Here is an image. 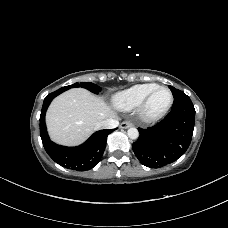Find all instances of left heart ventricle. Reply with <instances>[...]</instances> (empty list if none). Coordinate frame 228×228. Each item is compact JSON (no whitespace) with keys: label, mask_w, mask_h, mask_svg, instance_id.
Returning a JSON list of instances; mask_svg holds the SVG:
<instances>
[{"label":"left heart ventricle","mask_w":228,"mask_h":228,"mask_svg":"<svg viewBox=\"0 0 228 228\" xmlns=\"http://www.w3.org/2000/svg\"><path fill=\"white\" fill-rule=\"evenodd\" d=\"M170 102V94L165 89H160L150 99L147 112L151 115H155L163 111Z\"/></svg>","instance_id":"obj_1"}]
</instances>
